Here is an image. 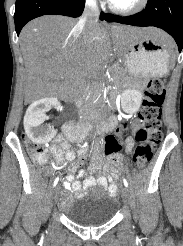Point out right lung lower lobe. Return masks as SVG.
Segmentation results:
<instances>
[{"label": "right lung lower lobe", "mask_w": 183, "mask_h": 246, "mask_svg": "<svg viewBox=\"0 0 183 246\" xmlns=\"http://www.w3.org/2000/svg\"><path fill=\"white\" fill-rule=\"evenodd\" d=\"M85 6V0H16L14 21L17 35L30 20L43 15H64L79 17ZM100 19L104 20L103 12Z\"/></svg>", "instance_id": "1"}]
</instances>
